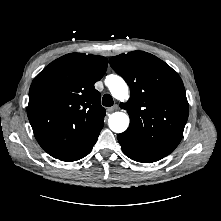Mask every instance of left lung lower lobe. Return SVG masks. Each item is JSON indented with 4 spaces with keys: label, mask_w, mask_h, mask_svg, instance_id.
<instances>
[{
    "label": "left lung lower lobe",
    "mask_w": 221,
    "mask_h": 221,
    "mask_svg": "<svg viewBox=\"0 0 221 221\" xmlns=\"http://www.w3.org/2000/svg\"><path fill=\"white\" fill-rule=\"evenodd\" d=\"M117 138L121 144L124 154L134 161L152 163L163 158V156H158L136 145L125 132L118 134Z\"/></svg>",
    "instance_id": "0a47b994"
}]
</instances>
